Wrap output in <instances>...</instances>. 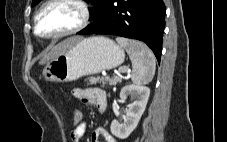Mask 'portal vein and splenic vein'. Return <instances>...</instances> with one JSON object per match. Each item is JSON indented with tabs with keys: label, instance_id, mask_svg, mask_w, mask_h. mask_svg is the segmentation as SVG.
Returning <instances> with one entry per match:
<instances>
[{
	"label": "portal vein and splenic vein",
	"instance_id": "obj_1",
	"mask_svg": "<svg viewBox=\"0 0 227 142\" xmlns=\"http://www.w3.org/2000/svg\"><path fill=\"white\" fill-rule=\"evenodd\" d=\"M128 71V68L127 67H124L122 68L121 72L124 73V72H127Z\"/></svg>",
	"mask_w": 227,
	"mask_h": 142
}]
</instances>
